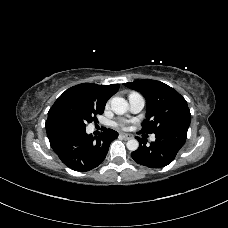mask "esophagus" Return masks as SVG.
Instances as JSON below:
<instances>
[{"mask_svg":"<svg viewBox=\"0 0 228 228\" xmlns=\"http://www.w3.org/2000/svg\"><path fill=\"white\" fill-rule=\"evenodd\" d=\"M119 136H120L122 139H124V140H129V139L132 138L131 135H129V134H124V133L120 134Z\"/></svg>","mask_w":228,"mask_h":228,"instance_id":"esophagus-1","label":"esophagus"}]
</instances>
